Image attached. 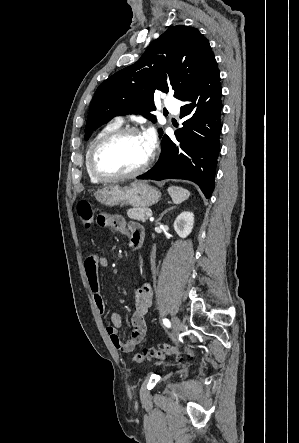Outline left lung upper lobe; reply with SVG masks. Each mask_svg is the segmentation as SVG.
<instances>
[{
  "label": "left lung upper lobe",
  "instance_id": "1",
  "mask_svg": "<svg viewBox=\"0 0 299 443\" xmlns=\"http://www.w3.org/2000/svg\"><path fill=\"white\" fill-rule=\"evenodd\" d=\"M215 60L208 40L195 28L167 29L141 58L105 80L94 95L85 139L116 115L138 113L155 122L154 93L174 90L181 99ZM162 136V131H159Z\"/></svg>",
  "mask_w": 299,
  "mask_h": 443
}]
</instances>
